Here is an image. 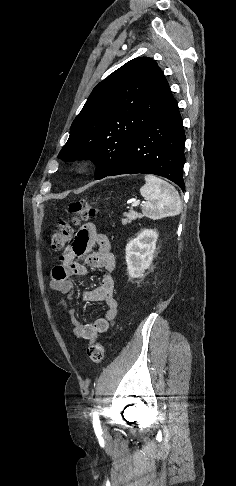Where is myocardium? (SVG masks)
<instances>
[{"label": "myocardium", "mask_w": 236, "mask_h": 486, "mask_svg": "<svg viewBox=\"0 0 236 486\" xmlns=\"http://www.w3.org/2000/svg\"><path fill=\"white\" fill-rule=\"evenodd\" d=\"M85 167H86V164H85V163H82V164L80 165V168H85Z\"/></svg>", "instance_id": "myocardium-1"}]
</instances>
